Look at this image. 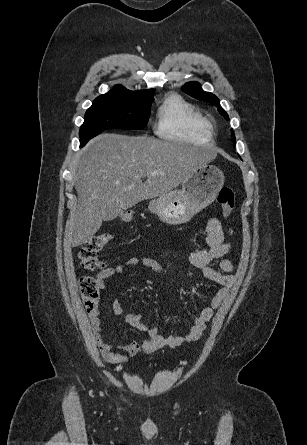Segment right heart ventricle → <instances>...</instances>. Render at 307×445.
Returning a JSON list of instances; mask_svg holds the SVG:
<instances>
[{
	"instance_id": "e07e8e85",
	"label": "right heart ventricle",
	"mask_w": 307,
	"mask_h": 445,
	"mask_svg": "<svg viewBox=\"0 0 307 445\" xmlns=\"http://www.w3.org/2000/svg\"><path fill=\"white\" fill-rule=\"evenodd\" d=\"M155 133L168 140L212 141L210 122L178 96L166 97L159 108Z\"/></svg>"
}]
</instances>
